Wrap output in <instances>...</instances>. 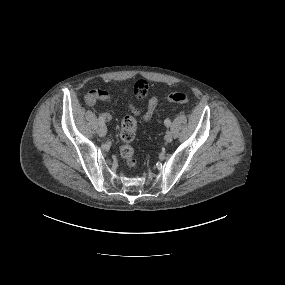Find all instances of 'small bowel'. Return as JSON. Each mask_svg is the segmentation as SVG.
Segmentation results:
<instances>
[{
    "instance_id": "obj_1",
    "label": "small bowel",
    "mask_w": 285,
    "mask_h": 285,
    "mask_svg": "<svg viewBox=\"0 0 285 285\" xmlns=\"http://www.w3.org/2000/svg\"><path fill=\"white\" fill-rule=\"evenodd\" d=\"M123 94L129 95L130 98L133 94L140 101H145L148 94V86L141 92H136L134 90V93H131L129 90H124ZM97 101H105L111 103L113 101V97L109 92L100 89H92L88 91L84 96V103L87 106H93ZM158 105L159 99L156 95H153L146 101V105L144 107H140L130 100L128 103V108L134 115H141L143 121L148 122L152 119ZM99 117H101L106 122H109L111 120V115L109 113H102Z\"/></svg>"
}]
</instances>
